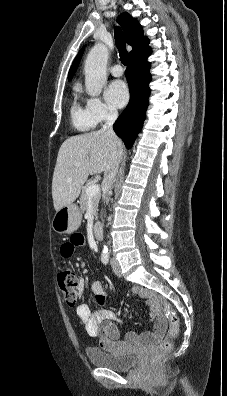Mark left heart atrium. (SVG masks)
I'll return each mask as SVG.
<instances>
[{"label":"left heart atrium","mask_w":227,"mask_h":396,"mask_svg":"<svg viewBox=\"0 0 227 396\" xmlns=\"http://www.w3.org/2000/svg\"><path fill=\"white\" fill-rule=\"evenodd\" d=\"M107 102L116 108L125 106L129 100V91L126 84L121 80L113 81L105 91Z\"/></svg>","instance_id":"39dd6f15"}]
</instances>
